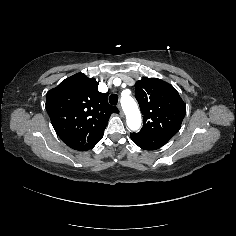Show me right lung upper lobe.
I'll use <instances>...</instances> for the list:
<instances>
[{
    "instance_id": "1",
    "label": "right lung upper lobe",
    "mask_w": 236,
    "mask_h": 236,
    "mask_svg": "<svg viewBox=\"0 0 236 236\" xmlns=\"http://www.w3.org/2000/svg\"><path fill=\"white\" fill-rule=\"evenodd\" d=\"M46 110L64 143L78 151L93 148L103 137L112 113L107 94L98 92V82L83 73L63 80L48 91Z\"/></svg>"
}]
</instances>
